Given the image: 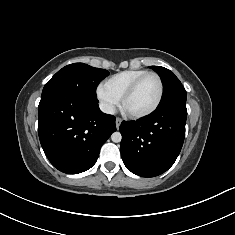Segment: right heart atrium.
Wrapping results in <instances>:
<instances>
[{
	"instance_id": "d8ad5b80",
	"label": "right heart atrium",
	"mask_w": 235,
	"mask_h": 235,
	"mask_svg": "<svg viewBox=\"0 0 235 235\" xmlns=\"http://www.w3.org/2000/svg\"><path fill=\"white\" fill-rule=\"evenodd\" d=\"M96 97L101 109L107 114L114 113L120 103V100L102 84L98 85L96 88Z\"/></svg>"
}]
</instances>
